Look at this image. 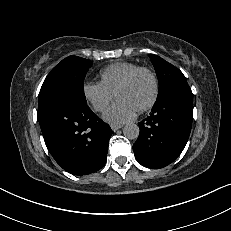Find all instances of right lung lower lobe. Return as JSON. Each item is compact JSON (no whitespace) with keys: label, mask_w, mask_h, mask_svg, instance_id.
Segmentation results:
<instances>
[{"label":"right lung lower lobe","mask_w":231,"mask_h":231,"mask_svg":"<svg viewBox=\"0 0 231 231\" xmlns=\"http://www.w3.org/2000/svg\"><path fill=\"white\" fill-rule=\"evenodd\" d=\"M38 120L48 150L64 170L87 175L104 166L113 131L87 103L57 99L38 110Z\"/></svg>","instance_id":"obj_1"}]
</instances>
